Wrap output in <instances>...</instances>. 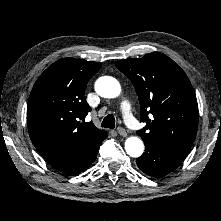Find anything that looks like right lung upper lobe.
<instances>
[{"label": "right lung upper lobe", "instance_id": "obj_1", "mask_svg": "<svg viewBox=\"0 0 221 221\" xmlns=\"http://www.w3.org/2000/svg\"><path fill=\"white\" fill-rule=\"evenodd\" d=\"M100 68L99 62L63 58L35 82L27 104V126L32 143L43 157L59 155L108 135L84 120L91 111L85 89Z\"/></svg>", "mask_w": 221, "mask_h": 221}]
</instances>
